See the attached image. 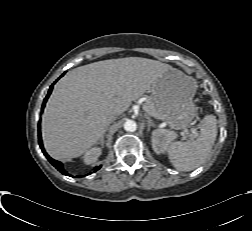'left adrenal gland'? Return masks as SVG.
Returning a JSON list of instances; mask_svg holds the SVG:
<instances>
[{"mask_svg": "<svg viewBox=\"0 0 252 231\" xmlns=\"http://www.w3.org/2000/svg\"><path fill=\"white\" fill-rule=\"evenodd\" d=\"M145 117L147 119V132H149L151 126L153 125V122H152L151 118L147 114H145Z\"/></svg>", "mask_w": 252, "mask_h": 231, "instance_id": "obj_1", "label": "left adrenal gland"}]
</instances>
